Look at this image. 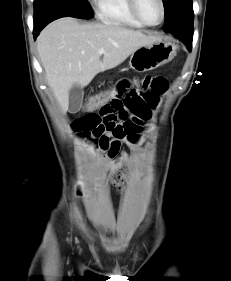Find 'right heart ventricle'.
<instances>
[{
    "label": "right heart ventricle",
    "instance_id": "obj_1",
    "mask_svg": "<svg viewBox=\"0 0 231 281\" xmlns=\"http://www.w3.org/2000/svg\"><path fill=\"white\" fill-rule=\"evenodd\" d=\"M96 13L97 17L108 25L144 28L133 15L129 0H96Z\"/></svg>",
    "mask_w": 231,
    "mask_h": 281
}]
</instances>
